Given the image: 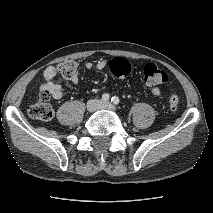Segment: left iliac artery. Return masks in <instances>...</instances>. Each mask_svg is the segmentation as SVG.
Returning a JSON list of instances; mask_svg holds the SVG:
<instances>
[{"label":"left iliac artery","instance_id":"obj_1","mask_svg":"<svg viewBox=\"0 0 213 213\" xmlns=\"http://www.w3.org/2000/svg\"><path fill=\"white\" fill-rule=\"evenodd\" d=\"M111 102L115 105L119 104L120 100L117 96L111 98Z\"/></svg>","mask_w":213,"mask_h":213}]
</instances>
